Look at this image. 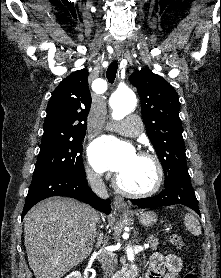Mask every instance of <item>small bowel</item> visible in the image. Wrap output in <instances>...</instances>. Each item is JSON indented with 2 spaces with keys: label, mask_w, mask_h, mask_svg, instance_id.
<instances>
[{
  "label": "small bowel",
  "mask_w": 221,
  "mask_h": 278,
  "mask_svg": "<svg viewBox=\"0 0 221 278\" xmlns=\"http://www.w3.org/2000/svg\"><path fill=\"white\" fill-rule=\"evenodd\" d=\"M181 269L182 261L177 255L155 253L150 259L145 278H177Z\"/></svg>",
  "instance_id": "1"
}]
</instances>
